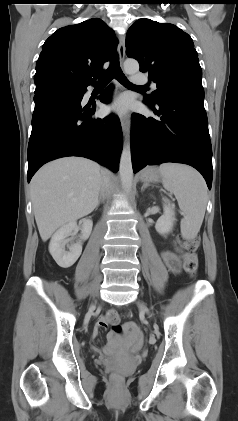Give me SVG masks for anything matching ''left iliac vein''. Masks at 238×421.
<instances>
[{
	"label": "left iliac vein",
	"mask_w": 238,
	"mask_h": 421,
	"mask_svg": "<svg viewBox=\"0 0 238 421\" xmlns=\"http://www.w3.org/2000/svg\"><path fill=\"white\" fill-rule=\"evenodd\" d=\"M139 307L141 310L145 311L146 313H149V310L147 309V307L144 304H139Z\"/></svg>",
	"instance_id": "4c4485c4"
}]
</instances>
